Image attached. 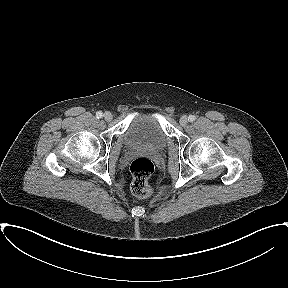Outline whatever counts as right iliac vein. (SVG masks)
<instances>
[{
	"instance_id": "right-iliac-vein-1",
	"label": "right iliac vein",
	"mask_w": 288,
	"mask_h": 288,
	"mask_svg": "<svg viewBox=\"0 0 288 288\" xmlns=\"http://www.w3.org/2000/svg\"><path fill=\"white\" fill-rule=\"evenodd\" d=\"M104 119L109 122L112 120V114L110 112H105L104 115H103Z\"/></svg>"
}]
</instances>
